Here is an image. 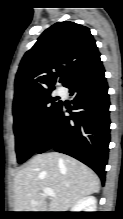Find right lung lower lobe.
Instances as JSON below:
<instances>
[{
  "instance_id": "obj_1",
  "label": "right lung lower lobe",
  "mask_w": 123,
  "mask_h": 219,
  "mask_svg": "<svg viewBox=\"0 0 123 219\" xmlns=\"http://www.w3.org/2000/svg\"><path fill=\"white\" fill-rule=\"evenodd\" d=\"M100 56L74 74L64 85L73 106L61 102L52 117L37 153L51 148L92 168L105 182L110 142L109 95ZM70 116H65V113Z\"/></svg>"
}]
</instances>
